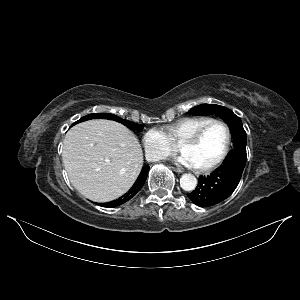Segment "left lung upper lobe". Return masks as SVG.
Wrapping results in <instances>:
<instances>
[{"label":"left lung upper lobe","instance_id":"obj_1","mask_svg":"<svg viewBox=\"0 0 300 300\" xmlns=\"http://www.w3.org/2000/svg\"><path fill=\"white\" fill-rule=\"evenodd\" d=\"M193 114H213L222 118L229 126L234 149L246 150V132L243 128L241 119L236 116L231 110L220 105L203 104L196 106L190 110Z\"/></svg>","mask_w":300,"mask_h":300}]
</instances>
